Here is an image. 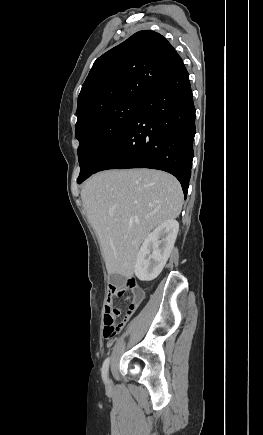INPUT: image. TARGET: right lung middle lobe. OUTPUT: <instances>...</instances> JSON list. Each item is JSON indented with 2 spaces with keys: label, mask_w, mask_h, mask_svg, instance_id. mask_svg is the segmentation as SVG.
<instances>
[{
  "label": "right lung middle lobe",
  "mask_w": 263,
  "mask_h": 435,
  "mask_svg": "<svg viewBox=\"0 0 263 435\" xmlns=\"http://www.w3.org/2000/svg\"><path fill=\"white\" fill-rule=\"evenodd\" d=\"M143 101L123 99L92 111L76 128L80 145L77 150L80 174L78 183L83 182L102 164L119 141Z\"/></svg>",
  "instance_id": "dd1d6c3e"
}]
</instances>
